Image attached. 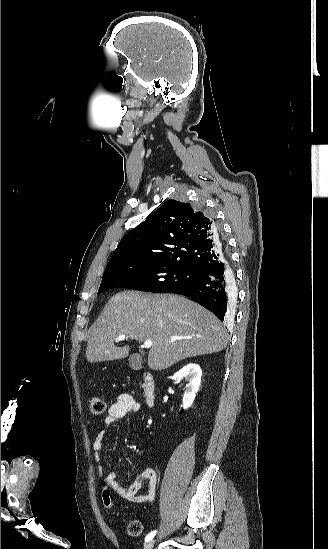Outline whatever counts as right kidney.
Segmentation results:
<instances>
[{"mask_svg":"<svg viewBox=\"0 0 328 549\" xmlns=\"http://www.w3.org/2000/svg\"><path fill=\"white\" fill-rule=\"evenodd\" d=\"M201 375L202 371L199 365H195V363L185 365L183 369H180L178 373L173 375V379L176 383H179L180 379H186V381H188L186 385L187 389L183 395V409H189V407H191L196 397V393L199 391Z\"/></svg>","mask_w":328,"mask_h":549,"instance_id":"obj_1","label":"right kidney"}]
</instances>
